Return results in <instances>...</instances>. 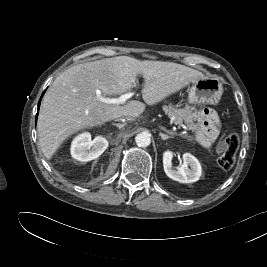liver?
I'll list each match as a JSON object with an SVG mask.
<instances>
[{"mask_svg": "<svg viewBox=\"0 0 267 267\" xmlns=\"http://www.w3.org/2000/svg\"><path fill=\"white\" fill-rule=\"evenodd\" d=\"M144 78L142 98L154 105L204 75L173 62L140 61L128 56L106 58L73 66L60 74L44 95L37 131L43 154L50 159L60 145L80 130L101 126L128 115L140 116L145 105L101 101V96L129 91L137 76Z\"/></svg>", "mask_w": 267, "mask_h": 267, "instance_id": "1", "label": "liver"}]
</instances>
